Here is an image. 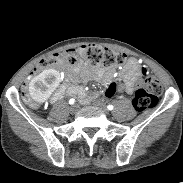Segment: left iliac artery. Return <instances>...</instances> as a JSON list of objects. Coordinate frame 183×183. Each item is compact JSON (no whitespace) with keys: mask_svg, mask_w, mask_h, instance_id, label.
<instances>
[{"mask_svg":"<svg viewBox=\"0 0 183 183\" xmlns=\"http://www.w3.org/2000/svg\"><path fill=\"white\" fill-rule=\"evenodd\" d=\"M107 108H108V110H113L114 107H113V105H108Z\"/></svg>","mask_w":183,"mask_h":183,"instance_id":"1","label":"left iliac artery"}]
</instances>
